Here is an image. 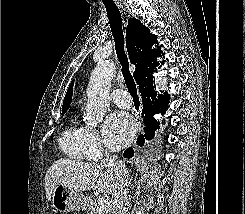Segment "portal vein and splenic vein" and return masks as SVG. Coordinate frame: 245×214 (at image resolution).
I'll list each match as a JSON object with an SVG mask.
<instances>
[{
  "label": "portal vein and splenic vein",
  "instance_id": "obj_1",
  "mask_svg": "<svg viewBox=\"0 0 245 214\" xmlns=\"http://www.w3.org/2000/svg\"><path fill=\"white\" fill-rule=\"evenodd\" d=\"M108 205H110V202L108 201V199L102 197L99 201V206L97 207V211L99 212L102 211V209Z\"/></svg>",
  "mask_w": 245,
  "mask_h": 214
}]
</instances>
